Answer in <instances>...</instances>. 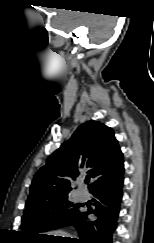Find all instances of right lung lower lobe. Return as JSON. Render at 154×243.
Wrapping results in <instances>:
<instances>
[{
	"label": "right lung lower lobe",
	"mask_w": 154,
	"mask_h": 243,
	"mask_svg": "<svg viewBox=\"0 0 154 243\" xmlns=\"http://www.w3.org/2000/svg\"><path fill=\"white\" fill-rule=\"evenodd\" d=\"M124 167L120 166L111 175L95 182L89 189L94 199L93 209L78 211L64 221L60 227L73 225L79 239H65L64 243H112V234L117 226L122 200Z\"/></svg>",
	"instance_id": "right-lung-lower-lobe-1"
}]
</instances>
